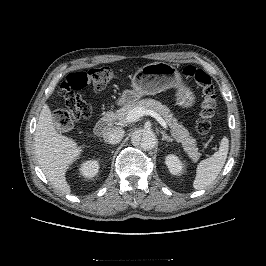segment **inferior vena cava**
I'll list each match as a JSON object with an SVG mask.
<instances>
[{
	"mask_svg": "<svg viewBox=\"0 0 266 266\" xmlns=\"http://www.w3.org/2000/svg\"><path fill=\"white\" fill-rule=\"evenodd\" d=\"M124 137V130L122 127L112 126L109 127L106 133H104L103 138L105 142L109 144H116L120 142Z\"/></svg>",
	"mask_w": 266,
	"mask_h": 266,
	"instance_id": "inferior-vena-cava-1",
	"label": "inferior vena cava"
}]
</instances>
